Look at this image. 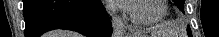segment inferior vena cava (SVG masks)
Wrapping results in <instances>:
<instances>
[{"mask_svg":"<svg viewBox=\"0 0 219 37\" xmlns=\"http://www.w3.org/2000/svg\"><path fill=\"white\" fill-rule=\"evenodd\" d=\"M106 10H107L109 15H112L116 12V8L114 6H107Z\"/></svg>","mask_w":219,"mask_h":37,"instance_id":"1","label":"inferior vena cava"}]
</instances>
